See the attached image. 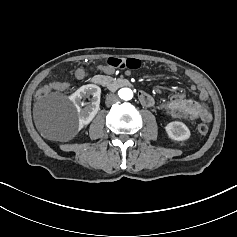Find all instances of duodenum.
<instances>
[{
  "label": "duodenum",
  "mask_w": 237,
  "mask_h": 237,
  "mask_svg": "<svg viewBox=\"0 0 237 237\" xmlns=\"http://www.w3.org/2000/svg\"><path fill=\"white\" fill-rule=\"evenodd\" d=\"M91 83L99 87H130L131 82L127 79L112 80L104 75H95L91 78Z\"/></svg>",
  "instance_id": "1"
}]
</instances>
